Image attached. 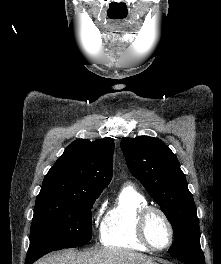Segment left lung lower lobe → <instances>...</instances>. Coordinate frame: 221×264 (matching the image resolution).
Listing matches in <instances>:
<instances>
[{
	"mask_svg": "<svg viewBox=\"0 0 221 264\" xmlns=\"http://www.w3.org/2000/svg\"><path fill=\"white\" fill-rule=\"evenodd\" d=\"M171 255L187 264H205L204 255L202 252L178 253Z\"/></svg>",
	"mask_w": 221,
	"mask_h": 264,
	"instance_id": "1",
	"label": "left lung lower lobe"
}]
</instances>
